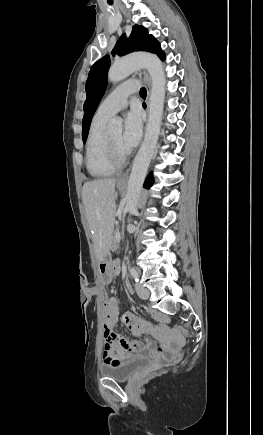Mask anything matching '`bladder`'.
<instances>
[{"label":"bladder","mask_w":263,"mask_h":435,"mask_svg":"<svg viewBox=\"0 0 263 435\" xmlns=\"http://www.w3.org/2000/svg\"><path fill=\"white\" fill-rule=\"evenodd\" d=\"M148 363L145 357H132L117 364H104L100 369L103 377L127 381Z\"/></svg>","instance_id":"obj_1"}]
</instances>
